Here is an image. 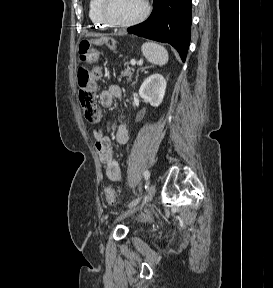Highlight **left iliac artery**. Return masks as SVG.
<instances>
[{"label": "left iliac artery", "mask_w": 273, "mask_h": 288, "mask_svg": "<svg viewBox=\"0 0 273 288\" xmlns=\"http://www.w3.org/2000/svg\"><path fill=\"white\" fill-rule=\"evenodd\" d=\"M144 178H145L146 182L149 180V178H150V172H149L148 170H146V171L144 172ZM138 200H139V198L136 199V200H134L133 202H131L129 205H130V206H131V205H134L136 202H138Z\"/></svg>", "instance_id": "1"}]
</instances>
